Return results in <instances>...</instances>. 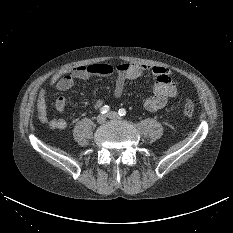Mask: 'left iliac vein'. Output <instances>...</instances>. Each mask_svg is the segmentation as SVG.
Here are the masks:
<instances>
[{
  "label": "left iliac vein",
  "mask_w": 233,
  "mask_h": 233,
  "mask_svg": "<svg viewBox=\"0 0 233 233\" xmlns=\"http://www.w3.org/2000/svg\"><path fill=\"white\" fill-rule=\"evenodd\" d=\"M107 116L110 119H119L120 118L119 114L115 111L109 112Z\"/></svg>",
  "instance_id": "1"
}]
</instances>
